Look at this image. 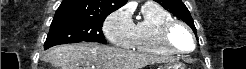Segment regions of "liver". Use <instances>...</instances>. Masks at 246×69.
I'll return each instance as SVG.
<instances>
[{"instance_id": "1", "label": "liver", "mask_w": 246, "mask_h": 69, "mask_svg": "<svg viewBox=\"0 0 246 69\" xmlns=\"http://www.w3.org/2000/svg\"><path fill=\"white\" fill-rule=\"evenodd\" d=\"M59 69H142L165 59L98 43L60 45L47 54Z\"/></svg>"}]
</instances>
